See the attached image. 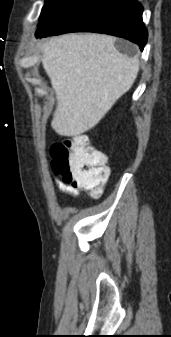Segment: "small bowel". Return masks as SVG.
Wrapping results in <instances>:
<instances>
[{"mask_svg":"<svg viewBox=\"0 0 171 337\" xmlns=\"http://www.w3.org/2000/svg\"><path fill=\"white\" fill-rule=\"evenodd\" d=\"M55 186L58 189V191L63 193V194L70 195L71 197H73L75 199L79 197V191H78L77 187H75L73 185L66 184L61 180H56Z\"/></svg>","mask_w":171,"mask_h":337,"instance_id":"c3829d8e","label":"small bowel"}]
</instances>
